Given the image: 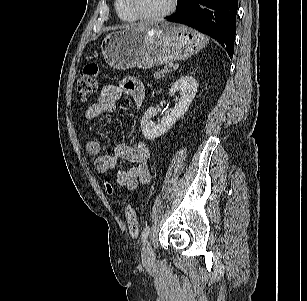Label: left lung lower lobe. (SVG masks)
Here are the masks:
<instances>
[{
  "instance_id": "1",
  "label": "left lung lower lobe",
  "mask_w": 307,
  "mask_h": 301,
  "mask_svg": "<svg viewBox=\"0 0 307 301\" xmlns=\"http://www.w3.org/2000/svg\"><path fill=\"white\" fill-rule=\"evenodd\" d=\"M238 0H178L167 21L191 26L217 40L230 58L234 53Z\"/></svg>"
}]
</instances>
